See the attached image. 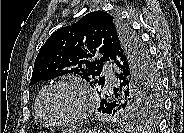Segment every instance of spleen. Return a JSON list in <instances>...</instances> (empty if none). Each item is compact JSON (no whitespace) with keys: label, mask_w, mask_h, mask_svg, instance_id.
I'll return each mask as SVG.
<instances>
[{"label":"spleen","mask_w":184,"mask_h":133,"mask_svg":"<svg viewBox=\"0 0 184 133\" xmlns=\"http://www.w3.org/2000/svg\"><path fill=\"white\" fill-rule=\"evenodd\" d=\"M110 132H111V133H113V132H116V131H115V130H114V131H113V130H111ZM118 132H121V131H118ZM118 132H117V133H118Z\"/></svg>","instance_id":"spleen-1"}]
</instances>
